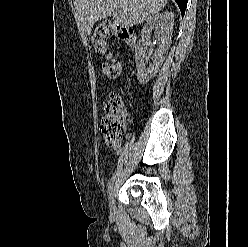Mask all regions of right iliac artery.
I'll return each mask as SVG.
<instances>
[{"label":"right iliac artery","instance_id":"obj_1","mask_svg":"<svg viewBox=\"0 0 248 247\" xmlns=\"http://www.w3.org/2000/svg\"><path fill=\"white\" fill-rule=\"evenodd\" d=\"M116 176H117V173L115 172L112 176V178L110 179V181L108 182V193L110 194V191L112 190L113 188V185H114V182L116 180Z\"/></svg>","mask_w":248,"mask_h":247}]
</instances>
